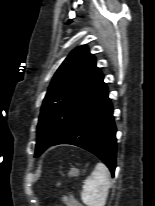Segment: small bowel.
Instances as JSON below:
<instances>
[{
	"label": "small bowel",
	"instance_id": "1",
	"mask_svg": "<svg viewBox=\"0 0 155 206\" xmlns=\"http://www.w3.org/2000/svg\"><path fill=\"white\" fill-rule=\"evenodd\" d=\"M65 206H71V200L69 198L64 199Z\"/></svg>",
	"mask_w": 155,
	"mask_h": 206
}]
</instances>
